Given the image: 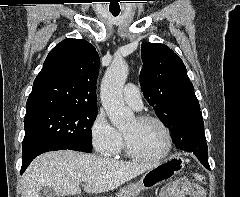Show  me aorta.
I'll list each match as a JSON object with an SVG mask.
<instances>
[{
    "label": "aorta",
    "mask_w": 240,
    "mask_h": 197,
    "mask_svg": "<svg viewBox=\"0 0 240 197\" xmlns=\"http://www.w3.org/2000/svg\"><path fill=\"white\" fill-rule=\"evenodd\" d=\"M128 65L123 60L113 61L101 83L102 105L113 126L121 129L128 125L134 114L123 100V86L128 76Z\"/></svg>",
    "instance_id": "obj_1"
}]
</instances>
